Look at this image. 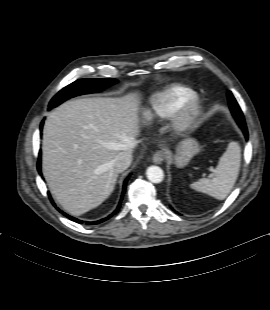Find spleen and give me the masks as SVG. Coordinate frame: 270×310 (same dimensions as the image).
Returning <instances> with one entry per match:
<instances>
[{
  "instance_id": "3e777b00",
  "label": "spleen",
  "mask_w": 270,
  "mask_h": 310,
  "mask_svg": "<svg viewBox=\"0 0 270 310\" xmlns=\"http://www.w3.org/2000/svg\"><path fill=\"white\" fill-rule=\"evenodd\" d=\"M237 142L229 143L214 169V178H202L190 187L217 200H224L231 192L240 170L241 153Z\"/></svg>"
}]
</instances>
